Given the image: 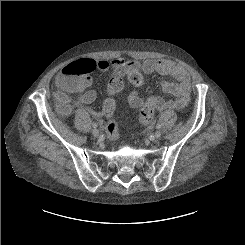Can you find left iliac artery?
I'll use <instances>...</instances> for the list:
<instances>
[{
	"label": "left iliac artery",
	"mask_w": 245,
	"mask_h": 245,
	"mask_svg": "<svg viewBox=\"0 0 245 245\" xmlns=\"http://www.w3.org/2000/svg\"><path fill=\"white\" fill-rule=\"evenodd\" d=\"M156 128L157 129H160L161 128V125L160 124H157Z\"/></svg>",
	"instance_id": "left-iliac-artery-1"
}]
</instances>
